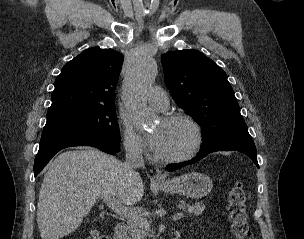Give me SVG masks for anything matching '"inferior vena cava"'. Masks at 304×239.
Here are the masks:
<instances>
[{
	"label": "inferior vena cava",
	"instance_id": "obj_1",
	"mask_svg": "<svg viewBox=\"0 0 304 239\" xmlns=\"http://www.w3.org/2000/svg\"><path fill=\"white\" fill-rule=\"evenodd\" d=\"M126 151L125 169L130 177H136L138 173L135 172L136 168L144 166V159L142 156V149L139 145L132 141H126L124 143Z\"/></svg>",
	"mask_w": 304,
	"mask_h": 239
}]
</instances>
